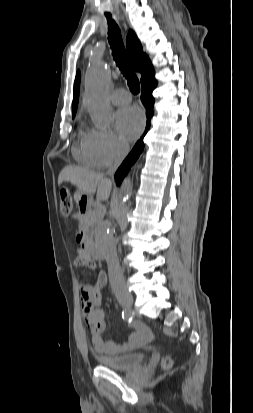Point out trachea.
<instances>
[{
    "instance_id": "trachea-1",
    "label": "trachea",
    "mask_w": 253,
    "mask_h": 413,
    "mask_svg": "<svg viewBox=\"0 0 253 413\" xmlns=\"http://www.w3.org/2000/svg\"><path fill=\"white\" fill-rule=\"evenodd\" d=\"M106 17L109 24L108 40L116 65L127 79L131 92L133 94H138L140 92V83L128 62L121 31L115 21L112 20L110 14H106Z\"/></svg>"
}]
</instances>
